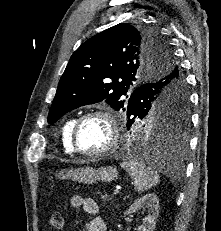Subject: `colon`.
I'll list each match as a JSON object with an SVG mask.
<instances>
[{
    "instance_id": "1",
    "label": "colon",
    "mask_w": 221,
    "mask_h": 231,
    "mask_svg": "<svg viewBox=\"0 0 221 231\" xmlns=\"http://www.w3.org/2000/svg\"><path fill=\"white\" fill-rule=\"evenodd\" d=\"M49 229L51 231H59L64 226V219L61 213L54 212L51 214L48 223Z\"/></svg>"
}]
</instances>
